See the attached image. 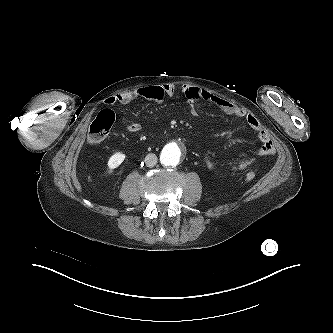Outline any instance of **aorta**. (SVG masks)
<instances>
[{"label": "aorta", "instance_id": "762f6f07", "mask_svg": "<svg viewBox=\"0 0 333 333\" xmlns=\"http://www.w3.org/2000/svg\"><path fill=\"white\" fill-rule=\"evenodd\" d=\"M183 151L184 148L179 144L166 146L160 154V161L164 166L174 167L179 164Z\"/></svg>", "mask_w": 333, "mask_h": 333}]
</instances>
